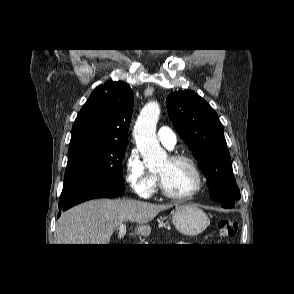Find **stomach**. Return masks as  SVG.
Here are the masks:
<instances>
[{"label": "stomach", "instance_id": "0dacf381", "mask_svg": "<svg viewBox=\"0 0 294 294\" xmlns=\"http://www.w3.org/2000/svg\"><path fill=\"white\" fill-rule=\"evenodd\" d=\"M172 221L176 229L187 236L202 233L208 226L209 220L204 211L197 205H181L173 212Z\"/></svg>", "mask_w": 294, "mask_h": 294}]
</instances>
